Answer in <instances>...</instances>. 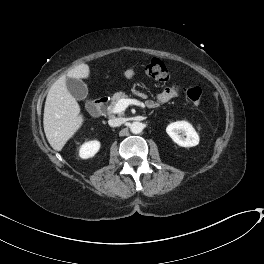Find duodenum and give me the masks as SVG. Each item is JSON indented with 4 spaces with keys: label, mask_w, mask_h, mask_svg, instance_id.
Instances as JSON below:
<instances>
[{
    "label": "duodenum",
    "mask_w": 264,
    "mask_h": 264,
    "mask_svg": "<svg viewBox=\"0 0 264 264\" xmlns=\"http://www.w3.org/2000/svg\"><path fill=\"white\" fill-rule=\"evenodd\" d=\"M106 98H95L93 100V107L99 115H102L106 108Z\"/></svg>",
    "instance_id": "410a0bca"
}]
</instances>
